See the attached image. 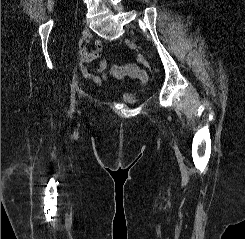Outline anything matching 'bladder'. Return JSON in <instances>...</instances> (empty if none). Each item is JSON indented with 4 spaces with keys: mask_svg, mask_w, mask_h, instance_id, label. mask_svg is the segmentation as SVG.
<instances>
[{
    "mask_svg": "<svg viewBox=\"0 0 245 239\" xmlns=\"http://www.w3.org/2000/svg\"><path fill=\"white\" fill-rule=\"evenodd\" d=\"M121 98L130 104H136L139 102V97L135 93H123Z\"/></svg>",
    "mask_w": 245,
    "mask_h": 239,
    "instance_id": "bladder-1",
    "label": "bladder"
}]
</instances>
